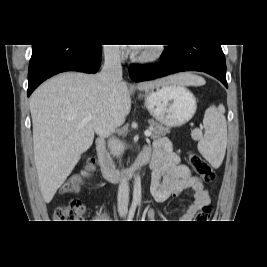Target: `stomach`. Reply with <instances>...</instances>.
<instances>
[{"label": "stomach", "instance_id": "stomach-1", "mask_svg": "<svg viewBox=\"0 0 267 267\" xmlns=\"http://www.w3.org/2000/svg\"><path fill=\"white\" fill-rule=\"evenodd\" d=\"M145 105L153 118L170 127L187 123L197 109L193 93L179 84H161L146 90Z\"/></svg>", "mask_w": 267, "mask_h": 267}]
</instances>
